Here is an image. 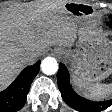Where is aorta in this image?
Listing matches in <instances>:
<instances>
[{
    "instance_id": "obj_1",
    "label": "aorta",
    "mask_w": 112,
    "mask_h": 112,
    "mask_svg": "<svg viewBox=\"0 0 112 112\" xmlns=\"http://www.w3.org/2000/svg\"><path fill=\"white\" fill-rule=\"evenodd\" d=\"M41 70L46 75H53L58 71L57 60L53 57H46L41 62Z\"/></svg>"
}]
</instances>
